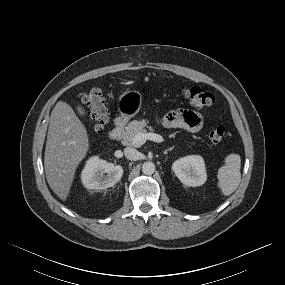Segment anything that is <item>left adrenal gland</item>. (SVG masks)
I'll list each match as a JSON object with an SVG mask.
<instances>
[{"instance_id":"a2214340","label":"left adrenal gland","mask_w":285,"mask_h":285,"mask_svg":"<svg viewBox=\"0 0 285 285\" xmlns=\"http://www.w3.org/2000/svg\"><path fill=\"white\" fill-rule=\"evenodd\" d=\"M174 148V146H172L171 148H168L164 151V154H167L168 151H171Z\"/></svg>"}]
</instances>
